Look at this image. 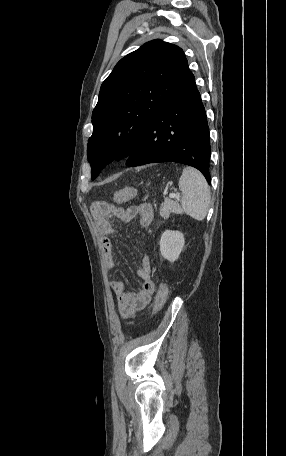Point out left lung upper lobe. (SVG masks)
Wrapping results in <instances>:
<instances>
[{
    "mask_svg": "<svg viewBox=\"0 0 286 456\" xmlns=\"http://www.w3.org/2000/svg\"><path fill=\"white\" fill-rule=\"evenodd\" d=\"M189 72L181 48L152 40L122 58L101 85L87 157L92 179L129 156L152 118Z\"/></svg>",
    "mask_w": 286,
    "mask_h": 456,
    "instance_id": "obj_1",
    "label": "left lung upper lobe"
}]
</instances>
